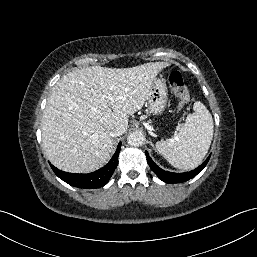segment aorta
<instances>
[{"mask_svg": "<svg viewBox=\"0 0 257 257\" xmlns=\"http://www.w3.org/2000/svg\"><path fill=\"white\" fill-rule=\"evenodd\" d=\"M127 142L131 146L139 147L144 143V136L140 132H134L128 136Z\"/></svg>", "mask_w": 257, "mask_h": 257, "instance_id": "aorta-1", "label": "aorta"}]
</instances>
